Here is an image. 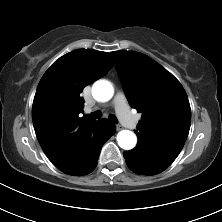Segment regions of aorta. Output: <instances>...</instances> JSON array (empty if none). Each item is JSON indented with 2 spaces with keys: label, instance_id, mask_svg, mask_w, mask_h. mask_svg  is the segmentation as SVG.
Here are the masks:
<instances>
[{
  "label": "aorta",
  "instance_id": "1",
  "mask_svg": "<svg viewBox=\"0 0 222 222\" xmlns=\"http://www.w3.org/2000/svg\"><path fill=\"white\" fill-rule=\"evenodd\" d=\"M114 93L113 86L109 81L98 80L92 86V95L97 101H109ZM118 145L124 150H130L135 147L136 135L129 130H122L117 134Z\"/></svg>",
  "mask_w": 222,
  "mask_h": 222
}]
</instances>
